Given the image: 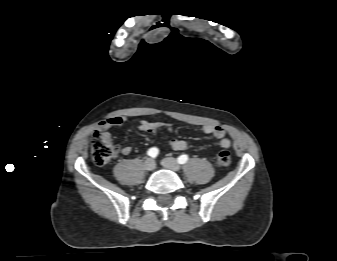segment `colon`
<instances>
[{
    "mask_svg": "<svg viewBox=\"0 0 337 261\" xmlns=\"http://www.w3.org/2000/svg\"><path fill=\"white\" fill-rule=\"evenodd\" d=\"M115 146L111 136L104 131H96L91 138V153L94 162L98 165L107 164L115 155ZM231 163V155L228 151L217 154L216 164L220 168H226Z\"/></svg>",
    "mask_w": 337,
    "mask_h": 261,
    "instance_id": "colon-1",
    "label": "colon"
}]
</instances>
